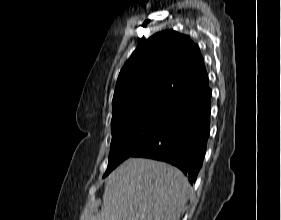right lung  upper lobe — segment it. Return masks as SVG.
Returning a JSON list of instances; mask_svg holds the SVG:
<instances>
[{"mask_svg":"<svg viewBox=\"0 0 281 220\" xmlns=\"http://www.w3.org/2000/svg\"><path fill=\"white\" fill-rule=\"evenodd\" d=\"M209 89L198 45L187 35L165 30L144 40L121 69L112 121L148 113L171 115Z\"/></svg>","mask_w":281,"mask_h":220,"instance_id":"right-lung-upper-lobe-1","label":"right lung upper lobe"}]
</instances>
